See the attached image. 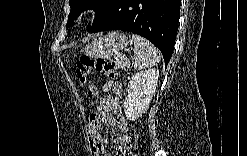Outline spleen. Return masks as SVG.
I'll return each mask as SVG.
<instances>
[{
  "label": "spleen",
  "instance_id": "1",
  "mask_svg": "<svg viewBox=\"0 0 247 156\" xmlns=\"http://www.w3.org/2000/svg\"><path fill=\"white\" fill-rule=\"evenodd\" d=\"M132 40L134 43L133 64L136 70L152 67L159 63L160 52L150 41L136 34L132 35Z\"/></svg>",
  "mask_w": 247,
  "mask_h": 156
}]
</instances>
